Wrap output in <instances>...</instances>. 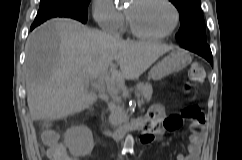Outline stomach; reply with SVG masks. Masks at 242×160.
<instances>
[{"label": "stomach", "instance_id": "obj_1", "mask_svg": "<svg viewBox=\"0 0 242 160\" xmlns=\"http://www.w3.org/2000/svg\"><path fill=\"white\" fill-rule=\"evenodd\" d=\"M191 63V57L183 49L172 50L169 55L157 62L150 70V78L154 81L161 80L164 76L177 72Z\"/></svg>", "mask_w": 242, "mask_h": 160}]
</instances>
